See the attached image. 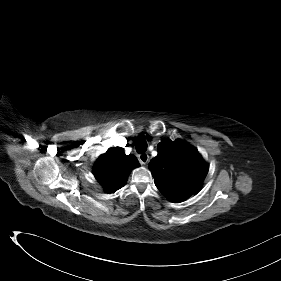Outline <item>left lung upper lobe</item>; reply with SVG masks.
Listing matches in <instances>:
<instances>
[{"mask_svg":"<svg viewBox=\"0 0 281 281\" xmlns=\"http://www.w3.org/2000/svg\"><path fill=\"white\" fill-rule=\"evenodd\" d=\"M149 169L157 188L172 202H182L197 192L208 173V165L194 147L168 139L158 144V155Z\"/></svg>","mask_w":281,"mask_h":281,"instance_id":"5c2ea615","label":"left lung upper lobe"}]
</instances>
